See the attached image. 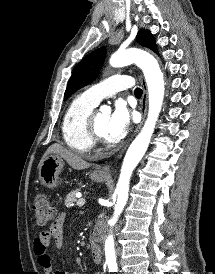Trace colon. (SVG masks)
I'll use <instances>...</instances> for the list:
<instances>
[{
  "instance_id": "5ec220e1",
  "label": "colon",
  "mask_w": 215,
  "mask_h": 274,
  "mask_svg": "<svg viewBox=\"0 0 215 274\" xmlns=\"http://www.w3.org/2000/svg\"><path fill=\"white\" fill-rule=\"evenodd\" d=\"M35 222L38 226H45L53 220L55 208L49 198L44 194H39L34 200Z\"/></svg>"
}]
</instances>
